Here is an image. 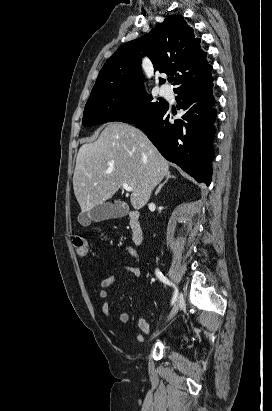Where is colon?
Returning <instances> with one entry per match:
<instances>
[{
    "instance_id": "obj_1",
    "label": "colon",
    "mask_w": 272,
    "mask_h": 411,
    "mask_svg": "<svg viewBox=\"0 0 272 411\" xmlns=\"http://www.w3.org/2000/svg\"><path fill=\"white\" fill-rule=\"evenodd\" d=\"M74 245L76 248V253L80 257H84L89 254L90 245L86 239L83 237H76L74 239Z\"/></svg>"
}]
</instances>
